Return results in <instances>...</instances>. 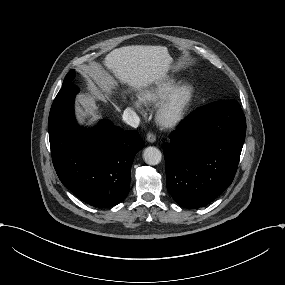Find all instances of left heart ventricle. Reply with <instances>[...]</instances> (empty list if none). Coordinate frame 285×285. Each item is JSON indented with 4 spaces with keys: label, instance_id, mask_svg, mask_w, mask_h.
Wrapping results in <instances>:
<instances>
[{
    "label": "left heart ventricle",
    "instance_id": "b2bd125f",
    "mask_svg": "<svg viewBox=\"0 0 285 285\" xmlns=\"http://www.w3.org/2000/svg\"><path fill=\"white\" fill-rule=\"evenodd\" d=\"M184 99H185V95H181V96L178 98V100H177V102H176V104H175L174 111L178 110V108H179V107L181 106V104L183 103Z\"/></svg>",
    "mask_w": 285,
    "mask_h": 285
}]
</instances>
